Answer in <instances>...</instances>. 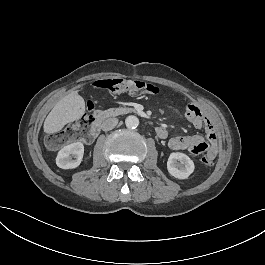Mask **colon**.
<instances>
[{
  "label": "colon",
  "mask_w": 265,
  "mask_h": 265,
  "mask_svg": "<svg viewBox=\"0 0 265 265\" xmlns=\"http://www.w3.org/2000/svg\"><path fill=\"white\" fill-rule=\"evenodd\" d=\"M93 87L98 91H106L114 95L129 94L133 96L151 95L157 93L159 90L155 84L123 78L97 79L94 81ZM75 136L76 130L72 127H66L50 134L46 142L52 148L72 140ZM201 163L206 166L213 164L211 160L207 159L206 155L201 158Z\"/></svg>",
  "instance_id": "1"
}]
</instances>
